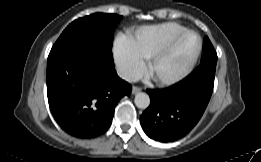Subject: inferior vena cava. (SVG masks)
<instances>
[{
	"label": "inferior vena cava",
	"instance_id": "602c4592",
	"mask_svg": "<svg viewBox=\"0 0 261 162\" xmlns=\"http://www.w3.org/2000/svg\"><path fill=\"white\" fill-rule=\"evenodd\" d=\"M116 71L120 78L128 82H136L138 80V76L136 75V73L129 68L120 66L117 67Z\"/></svg>",
	"mask_w": 261,
	"mask_h": 162
}]
</instances>
